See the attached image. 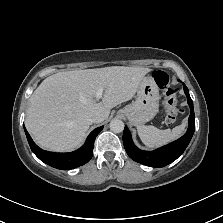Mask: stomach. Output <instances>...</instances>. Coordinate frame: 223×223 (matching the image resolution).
Returning <instances> with one entry per match:
<instances>
[{
    "label": "stomach",
    "instance_id": "obj_1",
    "mask_svg": "<svg viewBox=\"0 0 223 223\" xmlns=\"http://www.w3.org/2000/svg\"><path fill=\"white\" fill-rule=\"evenodd\" d=\"M159 88L152 75L142 78L135 101L126 105L120 113L134 126H141L151 120L158 112Z\"/></svg>",
    "mask_w": 223,
    "mask_h": 223
}]
</instances>
